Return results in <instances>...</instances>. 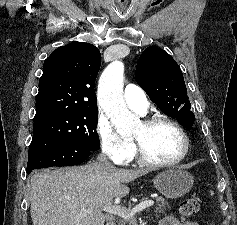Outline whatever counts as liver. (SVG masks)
Instances as JSON below:
<instances>
[{"instance_id": "1", "label": "liver", "mask_w": 237, "mask_h": 225, "mask_svg": "<svg viewBox=\"0 0 237 225\" xmlns=\"http://www.w3.org/2000/svg\"><path fill=\"white\" fill-rule=\"evenodd\" d=\"M149 169H118L97 162L44 170L30 180L33 225H104V206L124 197L129 183Z\"/></svg>"}]
</instances>
